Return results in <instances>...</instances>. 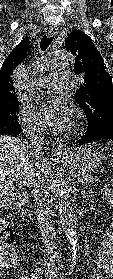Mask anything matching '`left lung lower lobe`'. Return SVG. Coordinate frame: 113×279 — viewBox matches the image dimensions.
Instances as JSON below:
<instances>
[{
	"instance_id": "0a47b994",
	"label": "left lung lower lobe",
	"mask_w": 113,
	"mask_h": 279,
	"mask_svg": "<svg viewBox=\"0 0 113 279\" xmlns=\"http://www.w3.org/2000/svg\"><path fill=\"white\" fill-rule=\"evenodd\" d=\"M104 140H113V120L104 121L103 125L97 129H87L85 135L81 139H79L77 143L80 146L86 143Z\"/></svg>"
}]
</instances>
